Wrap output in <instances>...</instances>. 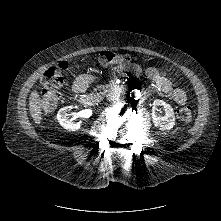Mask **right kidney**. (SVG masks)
<instances>
[{"instance_id": "ca27d5eb", "label": "right kidney", "mask_w": 221, "mask_h": 221, "mask_svg": "<svg viewBox=\"0 0 221 221\" xmlns=\"http://www.w3.org/2000/svg\"><path fill=\"white\" fill-rule=\"evenodd\" d=\"M73 108H77V106H66L63 107L62 109L59 110L58 114H57V119L60 123V125L69 131H75L76 129L80 128V124L79 123H74L72 122V119H70L68 117L67 112L70 111Z\"/></svg>"}]
</instances>
